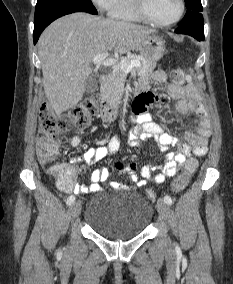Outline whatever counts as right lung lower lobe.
Returning <instances> with one entry per match:
<instances>
[{"instance_id":"98d812e1","label":"right lung lower lobe","mask_w":233,"mask_h":284,"mask_svg":"<svg viewBox=\"0 0 233 284\" xmlns=\"http://www.w3.org/2000/svg\"><path fill=\"white\" fill-rule=\"evenodd\" d=\"M73 12H63V13H58V14H54L51 15L45 19H42L41 21L34 23V33H33V37H34V43H36L38 41V38L41 34V32L55 19L64 16L66 14H70Z\"/></svg>"}]
</instances>
